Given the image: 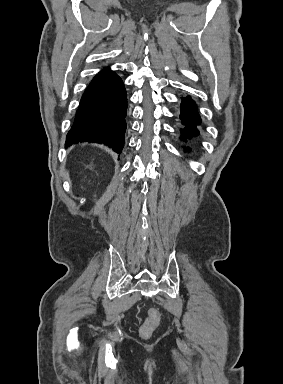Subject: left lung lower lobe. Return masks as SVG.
Instances as JSON below:
<instances>
[{"mask_svg": "<svg viewBox=\"0 0 283 384\" xmlns=\"http://www.w3.org/2000/svg\"><path fill=\"white\" fill-rule=\"evenodd\" d=\"M180 119L184 126V128L180 129L182 141H190L199 135L201 119L197 114L195 102L189 96L182 97ZM184 149L186 152L191 150L190 147H184Z\"/></svg>", "mask_w": 283, "mask_h": 384, "instance_id": "1", "label": "left lung lower lobe"}]
</instances>
